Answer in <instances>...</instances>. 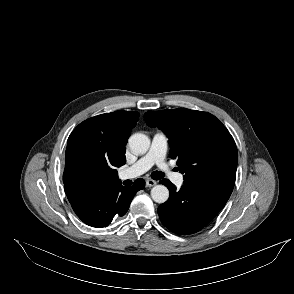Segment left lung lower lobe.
Returning a JSON list of instances; mask_svg holds the SVG:
<instances>
[{"label":"left lung lower lobe","mask_w":294,"mask_h":294,"mask_svg":"<svg viewBox=\"0 0 294 294\" xmlns=\"http://www.w3.org/2000/svg\"><path fill=\"white\" fill-rule=\"evenodd\" d=\"M170 191L168 201L158 207L161 222L174 233L186 235L203 229L229 199L234 184L206 180L184 184L180 190L168 179L160 181Z\"/></svg>","instance_id":"obj_1"}]
</instances>
